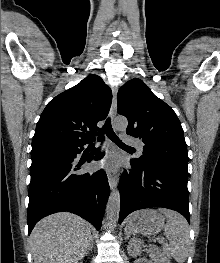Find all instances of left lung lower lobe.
<instances>
[{
  "label": "left lung lower lobe",
  "instance_id": "0a47b994",
  "mask_svg": "<svg viewBox=\"0 0 220 263\" xmlns=\"http://www.w3.org/2000/svg\"><path fill=\"white\" fill-rule=\"evenodd\" d=\"M130 173L120 180L119 223L133 211L163 207L181 213L190 223L188 189L185 175L161 164H139L130 160Z\"/></svg>",
  "mask_w": 220,
  "mask_h": 263
}]
</instances>
